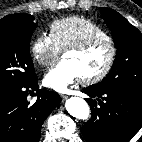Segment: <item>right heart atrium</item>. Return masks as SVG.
Here are the masks:
<instances>
[{
  "label": "right heart atrium",
  "instance_id": "obj_1",
  "mask_svg": "<svg viewBox=\"0 0 142 142\" xmlns=\"http://www.w3.org/2000/svg\"><path fill=\"white\" fill-rule=\"evenodd\" d=\"M31 53L39 65L50 67L57 62L61 51L50 35L40 34L32 40Z\"/></svg>",
  "mask_w": 142,
  "mask_h": 142
}]
</instances>
